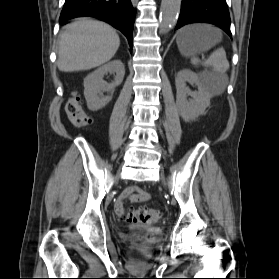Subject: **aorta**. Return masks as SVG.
<instances>
[{"label":"aorta","mask_w":279,"mask_h":279,"mask_svg":"<svg viewBox=\"0 0 279 279\" xmlns=\"http://www.w3.org/2000/svg\"><path fill=\"white\" fill-rule=\"evenodd\" d=\"M181 0H162L160 8L159 29L168 33L177 23Z\"/></svg>","instance_id":"762f6f07"}]
</instances>
